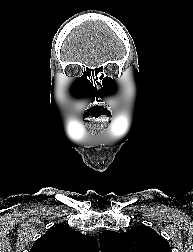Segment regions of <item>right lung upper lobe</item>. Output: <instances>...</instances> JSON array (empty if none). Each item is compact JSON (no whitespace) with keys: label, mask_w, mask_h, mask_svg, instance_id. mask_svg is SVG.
Here are the masks:
<instances>
[{"label":"right lung upper lobe","mask_w":193,"mask_h":252,"mask_svg":"<svg viewBox=\"0 0 193 252\" xmlns=\"http://www.w3.org/2000/svg\"><path fill=\"white\" fill-rule=\"evenodd\" d=\"M30 252H98V244L95 237L59 224L36 240Z\"/></svg>","instance_id":"right-lung-upper-lobe-1"}]
</instances>
